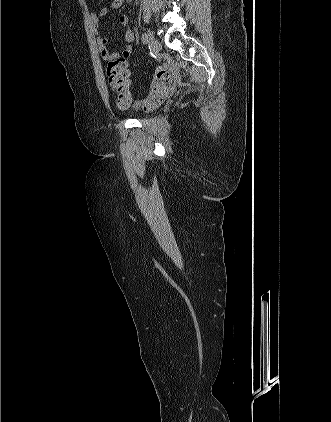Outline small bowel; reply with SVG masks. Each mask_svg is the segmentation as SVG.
Segmentation results:
<instances>
[{"label": "small bowel", "mask_w": 331, "mask_h": 422, "mask_svg": "<svg viewBox=\"0 0 331 422\" xmlns=\"http://www.w3.org/2000/svg\"><path fill=\"white\" fill-rule=\"evenodd\" d=\"M124 2L125 0H112L111 7L113 9H119L123 5ZM108 11L109 10L107 8H103L99 12H92L89 15L90 24L97 36V43L99 46V52H100L101 58L105 62H110L115 59H121L127 63V59L131 56V53L133 50L131 44L135 38L134 33L131 29L125 28L124 40L126 42V47L121 52L114 53V52L109 51V49L107 48L108 39L102 36L99 30L101 17L106 15ZM120 22L122 25L126 27L128 24V17L126 15H122L120 17Z\"/></svg>", "instance_id": "small-bowel-1"}]
</instances>
